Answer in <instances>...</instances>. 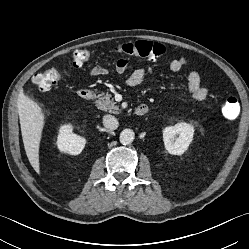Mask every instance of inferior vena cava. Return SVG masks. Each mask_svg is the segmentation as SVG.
Returning a JSON list of instances; mask_svg holds the SVG:
<instances>
[{
    "label": "inferior vena cava",
    "instance_id": "obj_1",
    "mask_svg": "<svg viewBox=\"0 0 249 249\" xmlns=\"http://www.w3.org/2000/svg\"><path fill=\"white\" fill-rule=\"evenodd\" d=\"M118 120L112 115L103 116V125L110 130H115L118 128Z\"/></svg>",
    "mask_w": 249,
    "mask_h": 249
}]
</instances>
